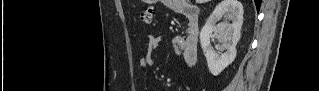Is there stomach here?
Listing matches in <instances>:
<instances>
[{
    "label": "stomach",
    "mask_w": 319,
    "mask_h": 91,
    "mask_svg": "<svg viewBox=\"0 0 319 91\" xmlns=\"http://www.w3.org/2000/svg\"><path fill=\"white\" fill-rule=\"evenodd\" d=\"M173 1V3H171V4H176L175 2H177L178 0H164L163 2H165V3H169V2H172ZM149 2H155V0H150Z\"/></svg>",
    "instance_id": "stomach-1"
}]
</instances>
